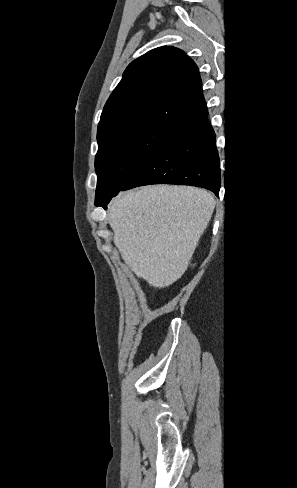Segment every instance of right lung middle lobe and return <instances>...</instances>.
Segmentation results:
<instances>
[{"instance_id":"1","label":"right lung middle lobe","mask_w":297,"mask_h":488,"mask_svg":"<svg viewBox=\"0 0 297 488\" xmlns=\"http://www.w3.org/2000/svg\"><path fill=\"white\" fill-rule=\"evenodd\" d=\"M170 131L160 127H138L98 143L95 205L100 206L117 195Z\"/></svg>"}]
</instances>
